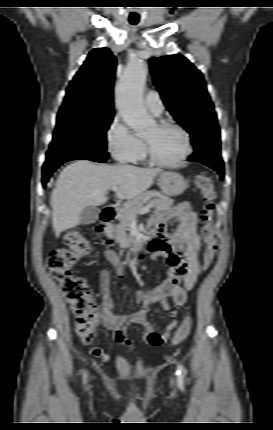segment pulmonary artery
I'll return each mask as SVG.
<instances>
[{"label":"pulmonary artery","mask_w":273,"mask_h":430,"mask_svg":"<svg viewBox=\"0 0 273 430\" xmlns=\"http://www.w3.org/2000/svg\"><path fill=\"white\" fill-rule=\"evenodd\" d=\"M147 109L154 115H160L164 109L163 102L156 91H149L145 98Z\"/></svg>","instance_id":"obj_1"}]
</instances>
